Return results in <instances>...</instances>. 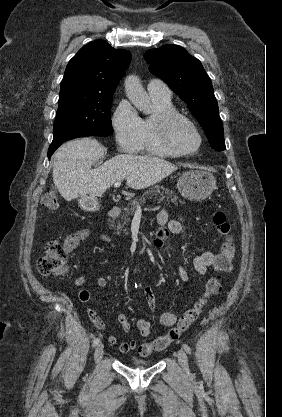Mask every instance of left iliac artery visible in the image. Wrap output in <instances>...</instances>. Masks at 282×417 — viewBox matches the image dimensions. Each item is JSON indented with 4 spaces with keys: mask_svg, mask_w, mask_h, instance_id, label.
Returning a JSON list of instances; mask_svg holds the SVG:
<instances>
[{
    "mask_svg": "<svg viewBox=\"0 0 282 417\" xmlns=\"http://www.w3.org/2000/svg\"><path fill=\"white\" fill-rule=\"evenodd\" d=\"M183 349L188 353L191 354V349L187 344H183Z\"/></svg>",
    "mask_w": 282,
    "mask_h": 417,
    "instance_id": "1",
    "label": "left iliac artery"
}]
</instances>
